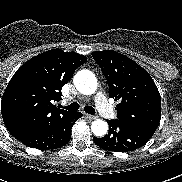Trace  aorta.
Masks as SVG:
<instances>
[{
  "label": "aorta",
  "instance_id": "obj_1",
  "mask_svg": "<svg viewBox=\"0 0 182 182\" xmlns=\"http://www.w3.org/2000/svg\"><path fill=\"white\" fill-rule=\"evenodd\" d=\"M76 89L84 95H92L97 89V78L89 70L78 71L73 79ZM91 130L97 137H102L108 132V124L104 120H95L91 124Z\"/></svg>",
  "mask_w": 182,
  "mask_h": 182
}]
</instances>
